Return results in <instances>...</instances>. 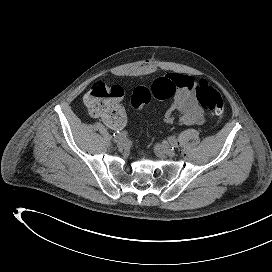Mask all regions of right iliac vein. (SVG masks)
<instances>
[{"label":"right iliac vein","mask_w":272,"mask_h":272,"mask_svg":"<svg viewBox=\"0 0 272 272\" xmlns=\"http://www.w3.org/2000/svg\"><path fill=\"white\" fill-rule=\"evenodd\" d=\"M127 145H128V142H127V140L124 139V138L120 139V140L117 142V146H118V148H120V149L126 148Z\"/></svg>","instance_id":"right-iliac-vein-1"}]
</instances>
